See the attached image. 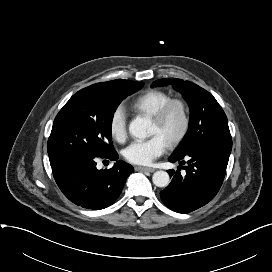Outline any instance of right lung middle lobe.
I'll return each mask as SVG.
<instances>
[{"mask_svg": "<svg viewBox=\"0 0 272 272\" xmlns=\"http://www.w3.org/2000/svg\"><path fill=\"white\" fill-rule=\"evenodd\" d=\"M143 85L124 80L111 92L82 89L75 93L54 120L47 143L50 162L69 155L107 156L115 152L111 134L114 112Z\"/></svg>", "mask_w": 272, "mask_h": 272, "instance_id": "dd1d6c3e", "label": "right lung middle lobe"}]
</instances>
